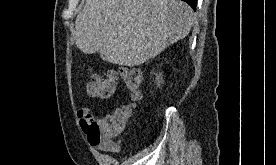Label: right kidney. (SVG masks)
Returning <instances> with one entry per match:
<instances>
[{"label": "right kidney", "mask_w": 276, "mask_h": 165, "mask_svg": "<svg viewBox=\"0 0 276 165\" xmlns=\"http://www.w3.org/2000/svg\"><path fill=\"white\" fill-rule=\"evenodd\" d=\"M155 83L157 84L158 87H160V85L164 84L162 73L156 74Z\"/></svg>", "instance_id": "1"}]
</instances>
